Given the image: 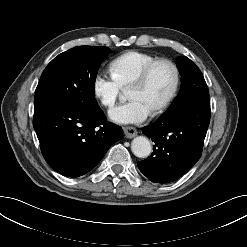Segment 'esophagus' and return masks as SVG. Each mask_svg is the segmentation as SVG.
<instances>
[{"instance_id":"obj_1","label":"esophagus","mask_w":247,"mask_h":247,"mask_svg":"<svg viewBox=\"0 0 247 247\" xmlns=\"http://www.w3.org/2000/svg\"><path fill=\"white\" fill-rule=\"evenodd\" d=\"M123 130H124L125 137L127 138H133L137 135V130L134 127L127 126V127H124Z\"/></svg>"}]
</instances>
